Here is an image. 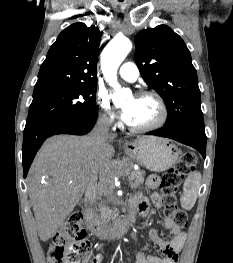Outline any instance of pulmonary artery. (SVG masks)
Wrapping results in <instances>:
<instances>
[{"label": "pulmonary artery", "instance_id": "e3ab8cb5", "mask_svg": "<svg viewBox=\"0 0 233 263\" xmlns=\"http://www.w3.org/2000/svg\"><path fill=\"white\" fill-rule=\"evenodd\" d=\"M119 74L125 81L134 82L139 77V70L134 63L126 62L121 65Z\"/></svg>", "mask_w": 233, "mask_h": 263}]
</instances>
